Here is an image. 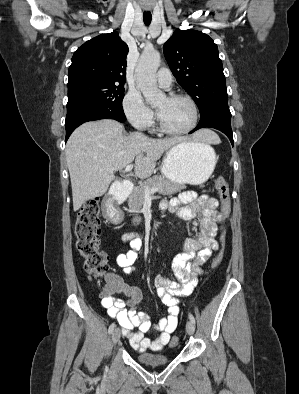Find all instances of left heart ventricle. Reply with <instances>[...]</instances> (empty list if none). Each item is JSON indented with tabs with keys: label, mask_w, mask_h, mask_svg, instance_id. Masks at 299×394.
Segmentation results:
<instances>
[{
	"label": "left heart ventricle",
	"mask_w": 299,
	"mask_h": 394,
	"mask_svg": "<svg viewBox=\"0 0 299 394\" xmlns=\"http://www.w3.org/2000/svg\"><path fill=\"white\" fill-rule=\"evenodd\" d=\"M155 107L163 122L172 129L181 130L191 125L193 110L185 100H170L167 97L159 99Z\"/></svg>",
	"instance_id": "left-heart-ventricle-1"
}]
</instances>
